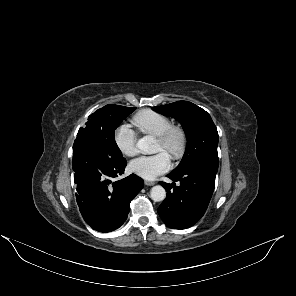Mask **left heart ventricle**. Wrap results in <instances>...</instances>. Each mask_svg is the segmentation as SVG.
<instances>
[{
	"instance_id": "b2bd125f",
	"label": "left heart ventricle",
	"mask_w": 296,
	"mask_h": 296,
	"mask_svg": "<svg viewBox=\"0 0 296 296\" xmlns=\"http://www.w3.org/2000/svg\"><path fill=\"white\" fill-rule=\"evenodd\" d=\"M159 151H164L169 155V152L165 150L158 141H156L155 152H159Z\"/></svg>"
}]
</instances>
